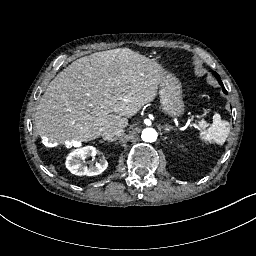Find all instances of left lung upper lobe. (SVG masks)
<instances>
[{
    "label": "left lung upper lobe",
    "instance_id": "1",
    "mask_svg": "<svg viewBox=\"0 0 256 256\" xmlns=\"http://www.w3.org/2000/svg\"><path fill=\"white\" fill-rule=\"evenodd\" d=\"M213 73H214V75L216 76V78L218 79L219 83H220V84L222 85V87H223V84H222V82H221V80H220V79H221L220 76H219L216 72H213ZM223 92H224V93H227L224 87H223Z\"/></svg>",
    "mask_w": 256,
    "mask_h": 256
}]
</instances>
